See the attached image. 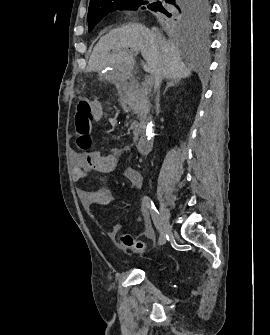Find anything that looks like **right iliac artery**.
<instances>
[{
  "mask_svg": "<svg viewBox=\"0 0 270 335\" xmlns=\"http://www.w3.org/2000/svg\"><path fill=\"white\" fill-rule=\"evenodd\" d=\"M143 204L146 206V208L149 209L153 223L157 230L159 231V240L158 244L163 245L166 242V234L162 228V221H161V216L157 208L155 207L152 199L148 196H144L142 199Z\"/></svg>",
  "mask_w": 270,
  "mask_h": 335,
  "instance_id": "1",
  "label": "right iliac artery"
}]
</instances>
